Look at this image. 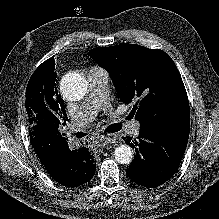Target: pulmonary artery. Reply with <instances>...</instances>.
<instances>
[{
    "label": "pulmonary artery",
    "mask_w": 219,
    "mask_h": 219,
    "mask_svg": "<svg viewBox=\"0 0 219 219\" xmlns=\"http://www.w3.org/2000/svg\"><path fill=\"white\" fill-rule=\"evenodd\" d=\"M90 90L88 98L79 106L73 116V128L78 130L89 124L97 112L108 105L109 74L99 67H92L88 71ZM131 134L138 135L140 122L131 121L128 123Z\"/></svg>",
    "instance_id": "obj_1"
}]
</instances>
